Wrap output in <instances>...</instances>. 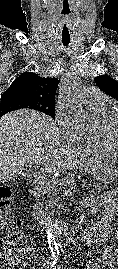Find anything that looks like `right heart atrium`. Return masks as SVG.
<instances>
[{
  "label": "right heart atrium",
  "mask_w": 118,
  "mask_h": 269,
  "mask_svg": "<svg viewBox=\"0 0 118 269\" xmlns=\"http://www.w3.org/2000/svg\"><path fill=\"white\" fill-rule=\"evenodd\" d=\"M56 120L67 143L79 148L88 140L90 134L84 132L71 118L57 112Z\"/></svg>",
  "instance_id": "d8ad5b80"
}]
</instances>
